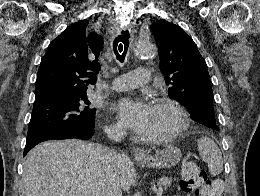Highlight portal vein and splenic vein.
Masks as SVG:
<instances>
[{"label": "portal vein and splenic vein", "instance_id": "portal-vein-and-splenic-vein-1", "mask_svg": "<svg viewBox=\"0 0 260 196\" xmlns=\"http://www.w3.org/2000/svg\"><path fill=\"white\" fill-rule=\"evenodd\" d=\"M155 190L157 191V196H162V190H163L162 186H156Z\"/></svg>", "mask_w": 260, "mask_h": 196}]
</instances>
